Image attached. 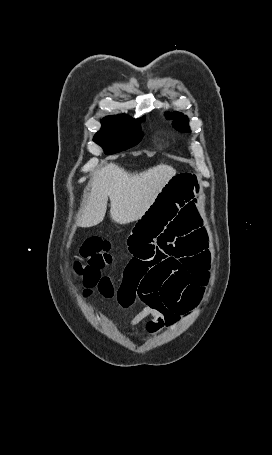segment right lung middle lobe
I'll list each match as a JSON object with an SVG mask.
<instances>
[{
    "instance_id": "right-lung-middle-lobe-1",
    "label": "right lung middle lobe",
    "mask_w": 272,
    "mask_h": 455,
    "mask_svg": "<svg viewBox=\"0 0 272 455\" xmlns=\"http://www.w3.org/2000/svg\"><path fill=\"white\" fill-rule=\"evenodd\" d=\"M145 117L133 119L127 115L108 116L101 120L102 128L94 141L104 149L106 154L126 150L138 144L143 133L140 129Z\"/></svg>"
}]
</instances>
